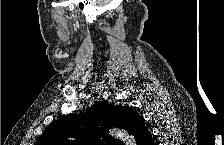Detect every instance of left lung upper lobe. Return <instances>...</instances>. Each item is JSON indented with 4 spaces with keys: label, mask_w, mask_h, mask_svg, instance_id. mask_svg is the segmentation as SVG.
<instances>
[{
    "label": "left lung upper lobe",
    "mask_w": 224,
    "mask_h": 145,
    "mask_svg": "<svg viewBox=\"0 0 224 145\" xmlns=\"http://www.w3.org/2000/svg\"><path fill=\"white\" fill-rule=\"evenodd\" d=\"M136 115L139 116L128 106H115L103 100L88 108L85 114H68L50 124L37 145H122L108 135V130L123 128L131 135Z\"/></svg>",
    "instance_id": "5c2ea615"
}]
</instances>
